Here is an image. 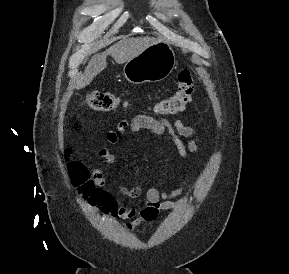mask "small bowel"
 <instances>
[{
    "label": "small bowel",
    "instance_id": "c3829d8e",
    "mask_svg": "<svg viewBox=\"0 0 289 274\" xmlns=\"http://www.w3.org/2000/svg\"><path fill=\"white\" fill-rule=\"evenodd\" d=\"M128 130L135 133L150 131L162 138H171L179 157L182 159L187 158L190 153L195 154L198 152L197 142L193 138L194 130L191 126L186 125L181 118L175 120L174 123H170L148 115H137L130 123L126 120L120 121L117 125V130H109L106 138L109 143L116 145L119 142V133H125ZM182 138L188 139V142L185 144ZM97 154L108 164H113L116 160L115 155L105 147L100 148ZM91 176L96 186L104 187L107 185V180L100 169L94 168ZM184 185L185 182L172 190H160L155 187L148 188L144 193V204L141 208L130 207L122 202L116 209V213L119 217L130 220L126 224L128 229H133L142 223L150 226L161 211L174 206L173 200L181 196ZM115 186L128 199H137L142 195V189L139 186L125 187L121 184H116Z\"/></svg>",
    "mask_w": 289,
    "mask_h": 274
}]
</instances>
